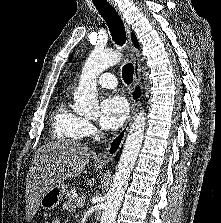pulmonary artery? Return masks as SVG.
Segmentation results:
<instances>
[{
	"label": "pulmonary artery",
	"mask_w": 221,
	"mask_h": 223,
	"mask_svg": "<svg viewBox=\"0 0 221 223\" xmlns=\"http://www.w3.org/2000/svg\"><path fill=\"white\" fill-rule=\"evenodd\" d=\"M97 82L103 88L113 89L117 86V80L115 75L109 72L102 73L98 77Z\"/></svg>",
	"instance_id": "obj_1"
}]
</instances>
